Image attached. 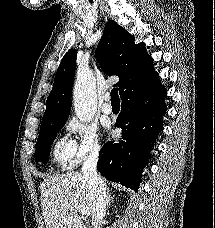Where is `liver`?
<instances>
[{
  "instance_id": "6515ba94",
  "label": "liver",
  "mask_w": 215,
  "mask_h": 228,
  "mask_svg": "<svg viewBox=\"0 0 215 228\" xmlns=\"http://www.w3.org/2000/svg\"><path fill=\"white\" fill-rule=\"evenodd\" d=\"M41 206L46 228H85L78 210L79 204L92 216V190L78 172H67L60 176H49L41 186ZM87 216V218H88Z\"/></svg>"
}]
</instances>
